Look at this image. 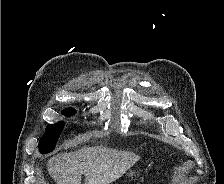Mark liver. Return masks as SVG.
Listing matches in <instances>:
<instances>
[{
  "label": "liver",
  "instance_id": "1",
  "mask_svg": "<svg viewBox=\"0 0 224 184\" xmlns=\"http://www.w3.org/2000/svg\"><path fill=\"white\" fill-rule=\"evenodd\" d=\"M140 156L102 146L61 153L48 161L47 169L57 184H110L130 169Z\"/></svg>",
  "mask_w": 224,
  "mask_h": 184
}]
</instances>
